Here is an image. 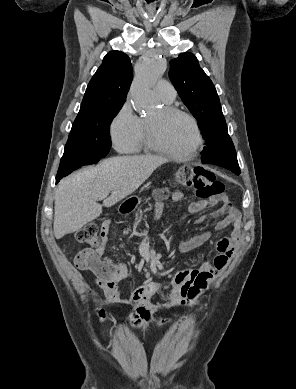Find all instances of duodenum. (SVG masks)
I'll use <instances>...</instances> for the list:
<instances>
[{
    "instance_id": "410a0bca",
    "label": "duodenum",
    "mask_w": 296,
    "mask_h": 389,
    "mask_svg": "<svg viewBox=\"0 0 296 389\" xmlns=\"http://www.w3.org/2000/svg\"><path fill=\"white\" fill-rule=\"evenodd\" d=\"M132 208H133V206L128 207V208H127V211L132 210Z\"/></svg>"
}]
</instances>
